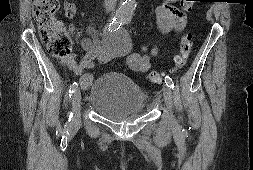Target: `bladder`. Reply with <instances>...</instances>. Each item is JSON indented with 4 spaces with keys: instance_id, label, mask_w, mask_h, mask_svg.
<instances>
[{
    "instance_id": "obj_1",
    "label": "bladder",
    "mask_w": 253,
    "mask_h": 170,
    "mask_svg": "<svg viewBox=\"0 0 253 170\" xmlns=\"http://www.w3.org/2000/svg\"><path fill=\"white\" fill-rule=\"evenodd\" d=\"M88 104L109 120L123 121L143 114L148 105V96L145 90L126 74L107 71L92 83Z\"/></svg>"
}]
</instances>
